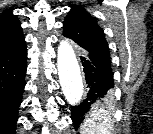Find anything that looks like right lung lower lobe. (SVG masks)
<instances>
[{"instance_id":"obj_1","label":"right lung lower lobe","mask_w":153,"mask_h":134,"mask_svg":"<svg viewBox=\"0 0 153 134\" xmlns=\"http://www.w3.org/2000/svg\"><path fill=\"white\" fill-rule=\"evenodd\" d=\"M26 62L25 41L0 53V134H15L25 86Z\"/></svg>"}]
</instances>
